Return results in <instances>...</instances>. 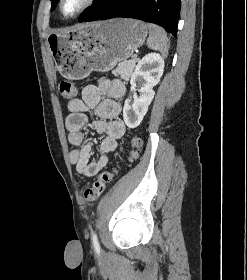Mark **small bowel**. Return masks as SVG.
I'll return each mask as SVG.
<instances>
[{
	"label": "small bowel",
	"mask_w": 247,
	"mask_h": 280,
	"mask_svg": "<svg viewBox=\"0 0 247 280\" xmlns=\"http://www.w3.org/2000/svg\"><path fill=\"white\" fill-rule=\"evenodd\" d=\"M126 94V86L120 80L101 79L96 85H86L81 91V98L68 103L69 114L65 119L68 141L79 147L69 153L70 162L76 166L80 175L93 177L109 161L118 141L125 134V125L118 118L121 112L119 100ZM91 109L95 116L92 127L97 133L105 135L99 146V158L90 161L93 144L85 140L83 128L87 123L86 112Z\"/></svg>",
	"instance_id": "small-bowel-1"
}]
</instances>
